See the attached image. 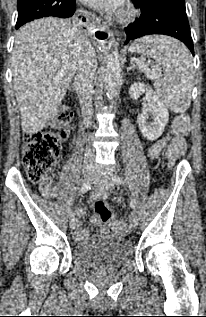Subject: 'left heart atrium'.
I'll use <instances>...</instances> for the list:
<instances>
[{
    "mask_svg": "<svg viewBox=\"0 0 206 317\" xmlns=\"http://www.w3.org/2000/svg\"><path fill=\"white\" fill-rule=\"evenodd\" d=\"M95 8L106 11L108 13H116L120 10L124 0H81Z\"/></svg>",
    "mask_w": 206,
    "mask_h": 317,
    "instance_id": "39dd6f15",
    "label": "left heart atrium"
}]
</instances>
